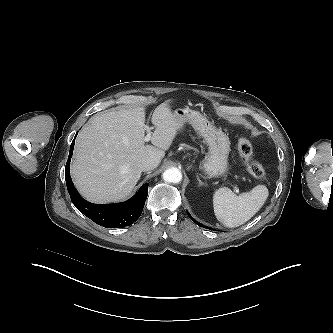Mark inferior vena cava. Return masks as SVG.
<instances>
[{
    "instance_id": "obj_1",
    "label": "inferior vena cava",
    "mask_w": 333,
    "mask_h": 333,
    "mask_svg": "<svg viewBox=\"0 0 333 333\" xmlns=\"http://www.w3.org/2000/svg\"><path fill=\"white\" fill-rule=\"evenodd\" d=\"M159 163L160 160L156 158H147L141 162L140 167L142 171H149L156 168L159 165Z\"/></svg>"
}]
</instances>
